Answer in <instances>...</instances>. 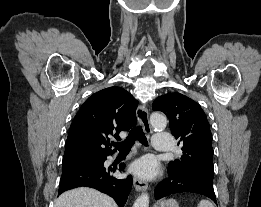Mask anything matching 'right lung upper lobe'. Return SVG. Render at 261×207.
Segmentation results:
<instances>
[{
    "label": "right lung upper lobe",
    "mask_w": 261,
    "mask_h": 207,
    "mask_svg": "<svg viewBox=\"0 0 261 207\" xmlns=\"http://www.w3.org/2000/svg\"><path fill=\"white\" fill-rule=\"evenodd\" d=\"M137 101L120 87L94 93L81 106L69 130L63 161L106 157L111 150L109 136L120 139L136 123Z\"/></svg>",
    "instance_id": "cb5924a9"
}]
</instances>
